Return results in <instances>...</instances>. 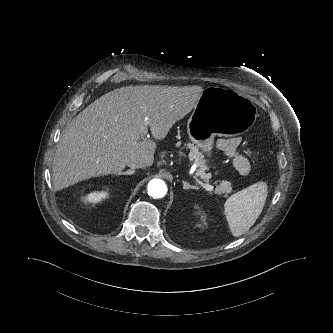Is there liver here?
<instances>
[{
    "label": "liver",
    "instance_id": "obj_1",
    "mask_svg": "<svg viewBox=\"0 0 333 333\" xmlns=\"http://www.w3.org/2000/svg\"><path fill=\"white\" fill-rule=\"evenodd\" d=\"M203 91L201 86L141 85L104 94L64 131L52 165L54 189L120 173L134 159L152 166L156 142L142 135L145 122L154 139H164L197 106Z\"/></svg>",
    "mask_w": 333,
    "mask_h": 333
}]
</instances>
